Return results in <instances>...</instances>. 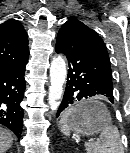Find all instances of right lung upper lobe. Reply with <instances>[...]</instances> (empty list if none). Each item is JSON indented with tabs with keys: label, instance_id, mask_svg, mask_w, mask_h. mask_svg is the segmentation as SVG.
I'll use <instances>...</instances> for the list:
<instances>
[{
	"label": "right lung upper lobe",
	"instance_id": "right-lung-upper-lobe-1",
	"mask_svg": "<svg viewBox=\"0 0 130 153\" xmlns=\"http://www.w3.org/2000/svg\"><path fill=\"white\" fill-rule=\"evenodd\" d=\"M28 35L20 22L9 19L0 25V69L28 61Z\"/></svg>",
	"mask_w": 130,
	"mask_h": 153
}]
</instances>
